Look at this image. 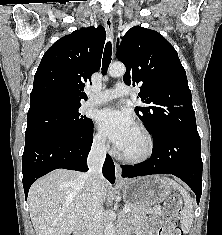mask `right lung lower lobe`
<instances>
[{
	"mask_svg": "<svg viewBox=\"0 0 222 235\" xmlns=\"http://www.w3.org/2000/svg\"><path fill=\"white\" fill-rule=\"evenodd\" d=\"M92 142L93 125L84 136L77 139L50 138L25 147L22 156L25 198L35 180L55 169L88 171L86 161ZM102 171L104 177L113 184L115 167L108 155Z\"/></svg>",
	"mask_w": 222,
	"mask_h": 235,
	"instance_id": "1",
	"label": "right lung lower lobe"
}]
</instances>
